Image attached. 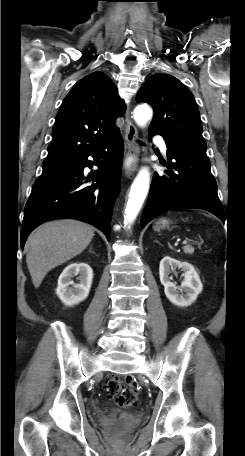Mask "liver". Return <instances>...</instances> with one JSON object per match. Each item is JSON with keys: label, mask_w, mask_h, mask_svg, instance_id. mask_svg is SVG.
Instances as JSON below:
<instances>
[{"label": "liver", "mask_w": 245, "mask_h": 456, "mask_svg": "<svg viewBox=\"0 0 245 456\" xmlns=\"http://www.w3.org/2000/svg\"><path fill=\"white\" fill-rule=\"evenodd\" d=\"M94 228L72 220H56L36 228L26 242V263L38 288L53 268L77 256L90 244Z\"/></svg>", "instance_id": "liver-1"}]
</instances>
